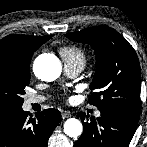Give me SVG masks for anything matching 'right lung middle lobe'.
Returning <instances> with one entry per match:
<instances>
[{
	"mask_svg": "<svg viewBox=\"0 0 147 147\" xmlns=\"http://www.w3.org/2000/svg\"><path fill=\"white\" fill-rule=\"evenodd\" d=\"M30 68L12 61L0 60V115L22 108L25 87L29 85Z\"/></svg>",
	"mask_w": 147,
	"mask_h": 147,
	"instance_id": "1",
	"label": "right lung middle lobe"
}]
</instances>
